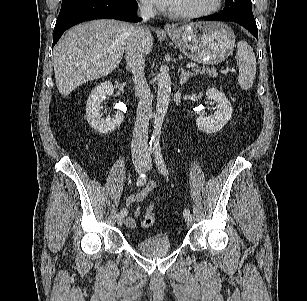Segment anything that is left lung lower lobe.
<instances>
[{
  "label": "left lung lower lobe",
  "instance_id": "obj_1",
  "mask_svg": "<svg viewBox=\"0 0 307 301\" xmlns=\"http://www.w3.org/2000/svg\"><path fill=\"white\" fill-rule=\"evenodd\" d=\"M203 20L209 21H233L244 26L250 33H252L256 38H258V30L253 15L249 14H223L219 13L216 15L208 16L202 18Z\"/></svg>",
  "mask_w": 307,
  "mask_h": 301
}]
</instances>
